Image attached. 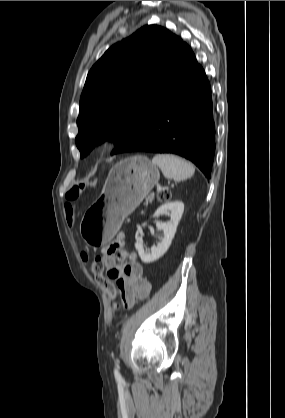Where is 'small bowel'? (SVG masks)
Masks as SVG:
<instances>
[{"label": "small bowel", "instance_id": "1", "mask_svg": "<svg viewBox=\"0 0 285 418\" xmlns=\"http://www.w3.org/2000/svg\"><path fill=\"white\" fill-rule=\"evenodd\" d=\"M124 241V234L118 233L114 241L101 250L109 277L115 281V287L119 290L125 303L135 299L147 298L151 291V285L145 276L142 265L138 262V254L135 251H126L117 247ZM121 247V246H120ZM127 264H116V259Z\"/></svg>", "mask_w": 285, "mask_h": 418}]
</instances>
